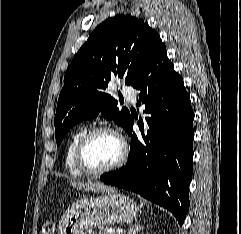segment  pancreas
Wrapping results in <instances>:
<instances>
[{"instance_id": "obj_1", "label": "pancreas", "mask_w": 241, "mask_h": 234, "mask_svg": "<svg viewBox=\"0 0 241 234\" xmlns=\"http://www.w3.org/2000/svg\"><path fill=\"white\" fill-rule=\"evenodd\" d=\"M98 234H115V233L114 232H110V228L106 227V228L100 229Z\"/></svg>"}]
</instances>
